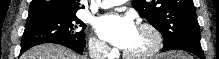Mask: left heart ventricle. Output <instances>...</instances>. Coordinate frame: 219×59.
Listing matches in <instances>:
<instances>
[{"instance_id":"obj_1","label":"left heart ventricle","mask_w":219,"mask_h":59,"mask_svg":"<svg viewBox=\"0 0 219 59\" xmlns=\"http://www.w3.org/2000/svg\"><path fill=\"white\" fill-rule=\"evenodd\" d=\"M152 44L151 35L143 30L137 29V32L127 48L126 51L130 53H141L147 50Z\"/></svg>"}]
</instances>
